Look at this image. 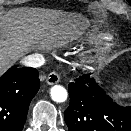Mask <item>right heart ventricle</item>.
Wrapping results in <instances>:
<instances>
[{
	"label": "right heart ventricle",
	"instance_id": "right-heart-ventricle-1",
	"mask_svg": "<svg viewBox=\"0 0 131 131\" xmlns=\"http://www.w3.org/2000/svg\"><path fill=\"white\" fill-rule=\"evenodd\" d=\"M102 38H103L102 35H95V36L93 37L94 40H100V39H102Z\"/></svg>",
	"mask_w": 131,
	"mask_h": 131
}]
</instances>
